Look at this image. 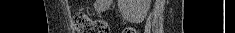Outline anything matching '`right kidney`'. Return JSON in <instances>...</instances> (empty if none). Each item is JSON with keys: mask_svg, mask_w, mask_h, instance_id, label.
Instances as JSON below:
<instances>
[{"mask_svg": "<svg viewBox=\"0 0 235 33\" xmlns=\"http://www.w3.org/2000/svg\"><path fill=\"white\" fill-rule=\"evenodd\" d=\"M150 0H119L123 16L129 19H143L149 9Z\"/></svg>", "mask_w": 235, "mask_h": 33, "instance_id": "obj_1", "label": "right kidney"}]
</instances>
